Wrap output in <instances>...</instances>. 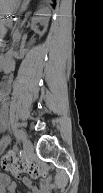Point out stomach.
Instances as JSON below:
<instances>
[{
	"mask_svg": "<svg viewBox=\"0 0 103 193\" xmlns=\"http://www.w3.org/2000/svg\"><path fill=\"white\" fill-rule=\"evenodd\" d=\"M19 5V0H6L3 6V11L1 10V13L3 15L11 14L13 11L17 9ZM1 8V5H0Z\"/></svg>",
	"mask_w": 103,
	"mask_h": 193,
	"instance_id": "obj_1",
	"label": "stomach"
}]
</instances>
